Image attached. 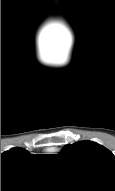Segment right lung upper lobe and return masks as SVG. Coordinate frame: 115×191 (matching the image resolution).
Here are the masks:
<instances>
[{"label":"right lung upper lobe","mask_w":115,"mask_h":191,"mask_svg":"<svg viewBox=\"0 0 115 191\" xmlns=\"http://www.w3.org/2000/svg\"><path fill=\"white\" fill-rule=\"evenodd\" d=\"M27 153V151L23 148H13L9 151H6L3 155L6 156H20L21 154Z\"/></svg>","instance_id":"obj_1"}]
</instances>
